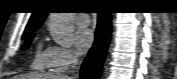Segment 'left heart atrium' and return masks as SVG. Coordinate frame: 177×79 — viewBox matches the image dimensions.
Returning a JSON list of instances; mask_svg holds the SVG:
<instances>
[{
  "mask_svg": "<svg viewBox=\"0 0 177 79\" xmlns=\"http://www.w3.org/2000/svg\"><path fill=\"white\" fill-rule=\"evenodd\" d=\"M94 33L90 29H81L76 33L75 43L80 54H85L94 44Z\"/></svg>",
  "mask_w": 177,
  "mask_h": 79,
  "instance_id": "1",
  "label": "left heart atrium"
}]
</instances>
